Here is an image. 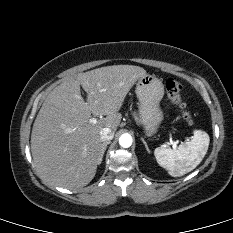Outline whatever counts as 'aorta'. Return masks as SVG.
I'll return each mask as SVG.
<instances>
[{
  "mask_svg": "<svg viewBox=\"0 0 233 233\" xmlns=\"http://www.w3.org/2000/svg\"><path fill=\"white\" fill-rule=\"evenodd\" d=\"M132 137L129 134H123L119 138V144L123 148H128L132 145Z\"/></svg>",
  "mask_w": 233,
  "mask_h": 233,
  "instance_id": "obj_1",
  "label": "aorta"
}]
</instances>
